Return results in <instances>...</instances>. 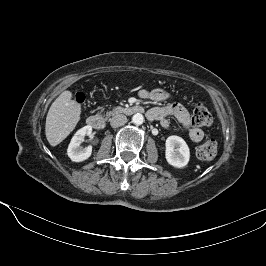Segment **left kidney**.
<instances>
[{
    "label": "left kidney",
    "mask_w": 266,
    "mask_h": 266,
    "mask_svg": "<svg viewBox=\"0 0 266 266\" xmlns=\"http://www.w3.org/2000/svg\"><path fill=\"white\" fill-rule=\"evenodd\" d=\"M165 158L175 168L185 167L190 158V150L187 143L179 136H169L165 143Z\"/></svg>",
    "instance_id": "5707ae66"
}]
</instances>
